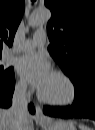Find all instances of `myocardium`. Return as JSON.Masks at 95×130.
I'll use <instances>...</instances> for the list:
<instances>
[{
    "instance_id": "myocardium-1",
    "label": "myocardium",
    "mask_w": 95,
    "mask_h": 130,
    "mask_svg": "<svg viewBox=\"0 0 95 130\" xmlns=\"http://www.w3.org/2000/svg\"><path fill=\"white\" fill-rule=\"evenodd\" d=\"M52 73L62 77L68 83L70 87V96L68 99L63 100V101L51 100V99L46 98L41 92V90L39 89L38 90L39 100L42 101L43 103H46L48 105H53V106H67V105L72 104L77 97V89H76V85L74 81L68 74H66L65 72L61 70H54Z\"/></svg>"
}]
</instances>
